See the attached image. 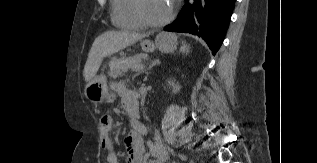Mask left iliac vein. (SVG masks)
Here are the masks:
<instances>
[{
    "label": "left iliac vein",
    "instance_id": "1",
    "mask_svg": "<svg viewBox=\"0 0 317 163\" xmlns=\"http://www.w3.org/2000/svg\"><path fill=\"white\" fill-rule=\"evenodd\" d=\"M165 159V157H162V160H164Z\"/></svg>",
    "mask_w": 317,
    "mask_h": 163
}]
</instances>
